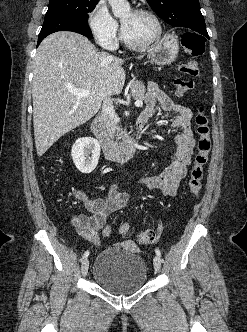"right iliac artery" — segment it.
Returning <instances> with one entry per match:
<instances>
[{
    "mask_svg": "<svg viewBox=\"0 0 247 332\" xmlns=\"http://www.w3.org/2000/svg\"><path fill=\"white\" fill-rule=\"evenodd\" d=\"M88 255H89V251L87 250V251L84 253L83 258H86Z\"/></svg>",
    "mask_w": 247,
    "mask_h": 332,
    "instance_id": "obj_1",
    "label": "right iliac artery"
}]
</instances>
